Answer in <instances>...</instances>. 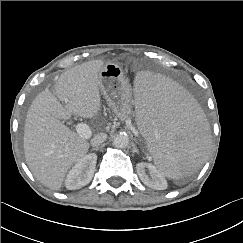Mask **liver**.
I'll return each instance as SVG.
<instances>
[{
  "instance_id": "liver-1",
  "label": "liver",
  "mask_w": 243,
  "mask_h": 243,
  "mask_svg": "<svg viewBox=\"0 0 243 243\" xmlns=\"http://www.w3.org/2000/svg\"><path fill=\"white\" fill-rule=\"evenodd\" d=\"M102 60H93L63 73L54 86L32 102L24 127V153L33 175L43 185L60 190L68 170L86 155V138L72 132L61 120L71 115L95 117L101 107ZM64 102V104H63Z\"/></svg>"
}]
</instances>
